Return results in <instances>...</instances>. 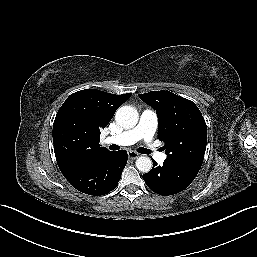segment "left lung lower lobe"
Listing matches in <instances>:
<instances>
[{"label": "left lung lower lobe", "instance_id": "left-lung-lower-lobe-1", "mask_svg": "<svg viewBox=\"0 0 257 257\" xmlns=\"http://www.w3.org/2000/svg\"><path fill=\"white\" fill-rule=\"evenodd\" d=\"M200 169L184 162L166 159L163 166H157L143 175L146 185L160 195H173L186 189L194 180Z\"/></svg>", "mask_w": 257, "mask_h": 257}]
</instances>
